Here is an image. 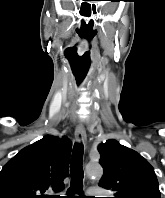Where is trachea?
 Wrapping results in <instances>:
<instances>
[{"instance_id": "trachea-1", "label": "trachea", "mask_w": 165, "mask_h": 198, "mask_svg": "<svg viewBox=\"0 0 165 198\" xmlns=\"http://www.w3.org/2000/svg\"><path fill=\"white\" fill-rule=\"evenodd\" d=\"M83 145H75L70 163L71 172V185L68 189L69 196L67 198H85L82 196L83 188ZM78 193L81 196H72V194Z\"/></svg>"}]
</instances>
